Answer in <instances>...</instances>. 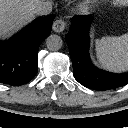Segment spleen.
Masks as SVG:
<instances>
[{
  "instance_id": "1",
  "label": "spleen",
  "mask_w": 128,
  "mask_h": 128,
  "mask_svg": "<svg viewBox=\"0 0 128 128\" xmlns=\"http://www.w3.org/2000/svg\"><path fill=\"white\" fill-rule=\"evenodd\" d=\"M96 55L99 63L114 71L128 69V33L122 36H106L96 40Z\"/></svg>"
}]
</instances>
